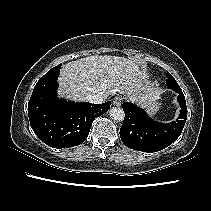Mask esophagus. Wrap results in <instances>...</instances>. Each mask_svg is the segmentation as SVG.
Segmentation results:
<instances>
[{"label": "esophagus", "instance_id": "obj_1", "mask_svg": "<svg viewBox=\"0 0 211 211\" xmlns=\"http://www.w3.org/2000/svg\"><path fill=\"white\" fill-rule=\"evenodd\" d=\"M122 101H123L122 97L116 96L113 98L112 103L114 106H120L122 104Z\"/></svg>", "mask_w": 211, "mask_h": 211}]
</instances>
